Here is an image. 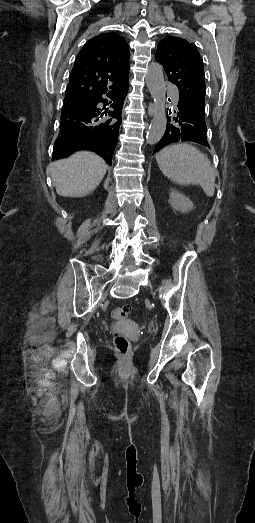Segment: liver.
I'll return each instance as SVG.
<instances>
[{"mask_svg": "<svg viewBox=\"0 0 255 523\" xmlns=\"http://www.w3.org/2000/svg\"><path fill=\"white\" fill-rule=\"evenodd\" d=\"M48 170L58 196L81 198L99 186L107 164L94 152H75L67 160L52 162Z\"/></svg>", "mask_w": 255, "mask_h": 523, "instance_id": "liver-1", "label": "liver"}]
</instances>
